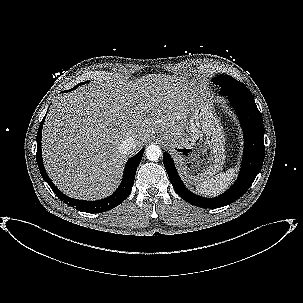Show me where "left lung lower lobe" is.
Masks as SVG:
<instances>
[{
  "instance_id": "1",
  "label": "left lung lower lobe",
  "mask_w": 303,
  "mask_h": 303,
  "mask_svg": "<svg viewBox=\"0 0 303 303\" xmlns=\"http://www.w3.org/2000/svg\"><path fill=\"white\" fill-rule=\"evenodd\" d=\"M220 94L229 97V101L239 117L245 139L240 174L233 186L216 198L194 195L182 183L171 156L167 152L163 154L165 169L177 194L188 203L202 208L223 207L246 193L261 170L265 154L264 125L254 98L241 96L231 89H226Z\"/></svg>"
}]
</instances>
